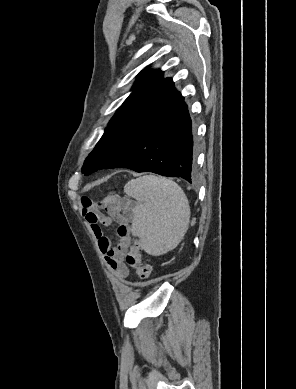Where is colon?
<instances>
[{"mask_svg":"<svg viewBox=\"0 0 296 389\" xmlns=\"http://www.w3.org/2000/svg\"><path fill=\"white\" fill-rule=\"evenodd\" d=\"M125 262L130 267L134 268L141 280H147L150 275L152 268L149 264L142 262L140 255V244L138 241H134L125 256Z\"/></svg>","mask_w":296,"mask_h":389,"instance_id":"obj_1","label":"colon"}]
</instances>
